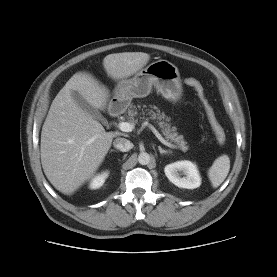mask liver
I'll return each instance as SVG.
<instances>
[{"label":"liver","mask_w":277,"mask_h":277,"mask_svg":"<svg viewBox=\"0 0 277 277\" xmlns=\"http://www.w3.org/2000/svg\"><path fill=\"white\" fill-rule=\"evenodd\" d=\"M150 56L143 52L109 54L103 66L114 80H124L141 70ZM77 91L95 109L104 110L108 89L87 72L75 73L54 98L41 132V164L50 183L66 195L88 181L103 162L113 138L72 98Z\"/></svg>","instance_id":"1"}]
</instances>
